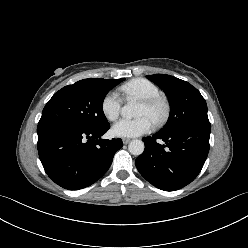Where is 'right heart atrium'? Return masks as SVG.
<instances>
[{
	"label": "right heart atrium",
	"mask_w": 248,
	"mask_h": 248,
	"mask_svg": "<svg viewBox=\"0 0 248 248\" xmlns=\"http://www.w3.org/2000/svg\"><path fill=\"white\" fill-rule=\"evenodd\" d=\"M122 99L115 91L108 92L102 99L101 111L109 121H115L121 111Z\"/></svg>",
	"instance_id": "d8ad5b80"
}]
</instances>
